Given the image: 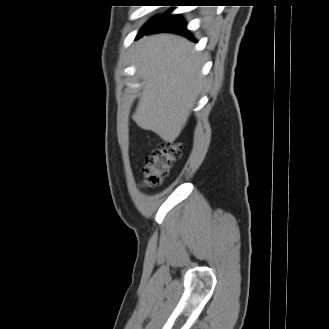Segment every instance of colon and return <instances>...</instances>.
<instances>
[{"label": "colon", "instance_id": "obj_1", "mask_svg": "<svg viewBox=\"0 0 329 329\" xmlns=\"http://www.w3.org/2000/svg\"><path fill=\"white\" fill-rule=\"evenodd\" d=\"M183 152L180 143L163 141L157 149L146 157L143 168L142 184L145 187H157L169 175L170 169Z\"/></svg>", "mask_w": 329, "mask_h": 329}]
</instances>
